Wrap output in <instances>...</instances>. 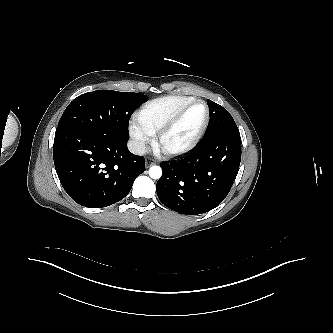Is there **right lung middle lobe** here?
<instances>
[{"label": "right lung middle lobe", "mask_w": 333, "mask_h": 333, "mask_svg": "<svg viewBox=\"0 0 333 333\" xmlns=\"http://www.w3.org/2000/svg\"><path fill=\"white\" fill-rule=\"evenodd\" d=\"M147 98L143 94L112 90L84 93L65 109L57 130H76L100 138L127 141L129 119Z\"/></svg>", "instance_id": "dd1d6c3e"}]
</instances>
